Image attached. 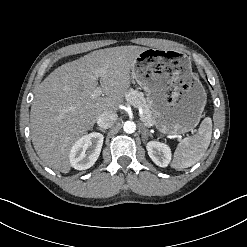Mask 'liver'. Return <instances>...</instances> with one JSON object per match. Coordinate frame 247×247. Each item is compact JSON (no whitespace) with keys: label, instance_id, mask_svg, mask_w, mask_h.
Instances as JSON below:
<instances>
[{"label":"liver","instance_id":"6515ba94","mask_svg":"<svg viewBox=\"0 0 247 247\" xmlns=\"http://www.w3.org/2000/svg\"><path fill=\"white\" fill-rule=\"evenodd\" d=\"M141 46L93 51L55 69L39 85L31 106L34 148L50 168L69 173L73 144L90 130L100 114L117 112L131 84L130 71ZM100 71L98 77L95 72ZM100 87L102 97H93Z\"/></svg>","mask_w":247,"mask_h":247}]
</instances>
